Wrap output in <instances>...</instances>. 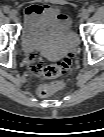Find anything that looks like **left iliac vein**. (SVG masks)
<instances>
[{"mask_svg": "<svg viewBox=\"0 0 104 137\" xmlns=\"http://www.w3.org/2000/svg\"><path fill=\"white\" fill-rule=\"evenodd\" d=\"M88 17H89V11L86 10V9H84V10L81 12V18H82L83 20H86V19H88Z\"/></svg>", "mask_w": 104, "mask_h": 137, "instance_id": "left-iliac-vein-1", "label": "left iliac vein"}]
</instances>
